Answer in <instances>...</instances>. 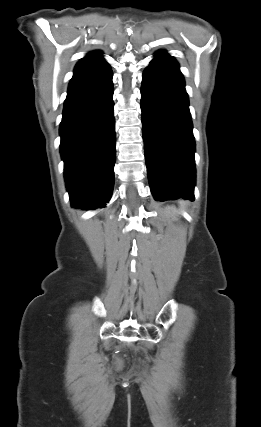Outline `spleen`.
<instances>
[{
	"label": "spleen",
	"mask_w": 261,
	"mask_h": 427,
	"mask_svg": "<svg viewBox=\"0 0 261 427\" xmlns=\"http://www.w3.org/2000/svg\"><path fill=\"white\" fill-rule=\"evenodd\" d=\"M184 206H185V202L184 201H180V207L184 208Z\"/></svg>",
	"instance_id": "obj_1"
}]
</instances>
